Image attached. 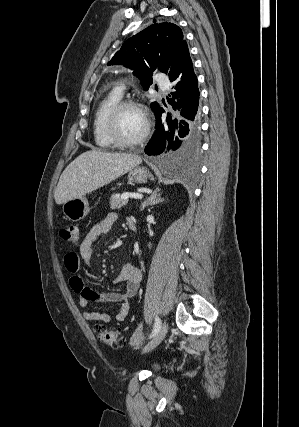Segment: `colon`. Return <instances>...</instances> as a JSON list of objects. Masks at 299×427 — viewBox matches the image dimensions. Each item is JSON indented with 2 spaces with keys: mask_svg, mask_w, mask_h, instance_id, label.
<instances>
[{
  "mask_svg": "<svg viewBox=\"0 0 299 427\" xmlns=\"http://www.w3.org/2000/svg\"><path fill=\"white\" fill-rule=\"evenodd\" d=\"M61 237L70 243L78 244L80 242V230L79 227L75 224L68 225L61 229ZM99 338L107 345L120 348L123 345V338L116 332L109 330L102 326L95 327Z\"/></svg>",
  "mask_w": 299,
  "mask_h": 427,
  "instance_id": "obj_1",
  "label": "colon"
}]
</instances>
